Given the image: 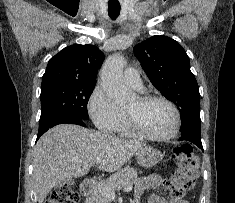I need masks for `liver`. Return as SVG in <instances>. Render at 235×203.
<instances>
[{
  "label": "liver",
  "mask_w": 235,
  "mask_h": 203,
  "mask_svg": "<svg viewBox=\"0 0 235 203\" xmlns=\"http://www.w3.org/2000/svg\"><path fill=\"white\" fill-rule=\"evenodd\" d=\"M146 144L88 130L73 124H60L46 132L34 148L33 184L38 203L51 189L70 178L84 176L102 158L99 170L114 172Z\"/></svg>",
  "instance_id": "obj_1"
}]
</instances>
